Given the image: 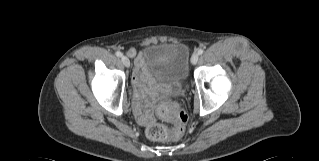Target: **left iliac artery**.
<instances>
[{"label":"left iliac artery","instance_id":"obj_1","mask_svg":"<svg viewBox=\"0 0 319 161\" xmlns=\"http://www.w3.org/2000/svg\"><path fill=\"white\" fill-rule=\"evenodd\" d=\"M203 52H204L203 49H199V50H198V54H199V55L203 54Z\"/></svg>","mask_w":319,"mask_h":161}]
</instances>
